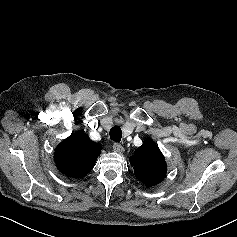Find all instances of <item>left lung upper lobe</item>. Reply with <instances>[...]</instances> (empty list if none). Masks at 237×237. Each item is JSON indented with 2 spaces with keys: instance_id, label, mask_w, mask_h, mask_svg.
<instances>
[{
  "instance_id": "5c2ea615",
  "label": "left lung upper lobe",
  "mask_w": 237,
  "mask_h": 237,
  "mask_svg": "<svg viewBox=\"0 0 237 237\" xmlns=\"http://www.w3.org/2000/svg\"><path fill=\"white\" fill-rule=\"evenodd\" d=\"M135 176L147 187L160 183L166 175L167 165L163 154L152 140L145 141L130 157Z\"/></svg>"
}]
</instances>
